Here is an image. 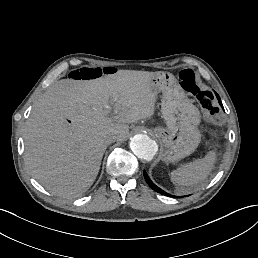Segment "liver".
<instances>
[{
    "label": "liver",
    "mask_w": 258,
    "mask_h": 258,
    "mask_svg": "<svg viewBox=\"0 0 258 258\" xmlns=\"http://www.w3.org/2000/svg\"><path fill=\"white\" fill-rule=\"evenodd\" d=\"M158 74L119 70L92 80L62 79L50 86L34 104L24 128V160L32 176L59 197L72 199L86 192L107 148L104 136L112 133L125 140L127 123L154 114L157 92L150 84Z\"/></svg>",
    "instance_id": "1"
}]
</instances>
